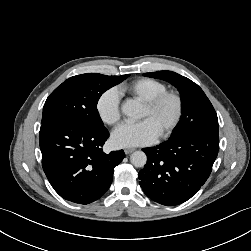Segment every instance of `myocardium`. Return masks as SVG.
I'll list each match as a JSON object with an SVG mask.
<instances>
[{"mask_svg":"<svg viewBox=\"0 0 251 251\" xmlns=\"http://www.w3.org/2000/svg\"><path fill=\"white\" fill-rule=\"evenodd\" d=\"M166 100H172L175 106L174 114L165 128L159 133V138H167L170 136L175 128L178 126L184 110V103L182 96L173 90H165L153 98L144 102V106H146L150 111L157 110Z\"/></svg>","mask_w":251,"mask_h":251,"instance_id":"f54148a6","label":"myocardium"}]
</instances>
